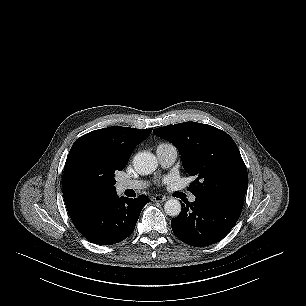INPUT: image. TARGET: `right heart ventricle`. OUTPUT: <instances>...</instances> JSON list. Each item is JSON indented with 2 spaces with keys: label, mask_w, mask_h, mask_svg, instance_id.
I'll use <instances>...</instances> for the list:
<instances>
[{
  "label": "right heart ventricle",
  "mask_w": 306,
  "mask_h": 306,
  "mask_svg": "<svg viewBox=\"0 0 306 306\" xmlns=\"http://www.w3.org/2000/svg\"><path fill=\"white\" fill-rule=\"evenodd\" d=\"M159 145H168V143H161V144H159Z\"/></svg>",
  "instance_id": "1"
}]
</instances>
